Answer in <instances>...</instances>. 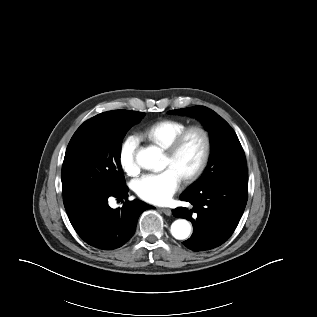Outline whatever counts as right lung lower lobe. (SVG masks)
<instances>
[{
    "label": "right lung lower lobe",
    "instance_id": "1",
    "mask_svg": "<svg viewBox=\"0 0 317 317\" xmlns=\"http://www.w3.org/2000/svg\"><path fill=\"white\" fill-rule=\"evenodd\" d=\"M127 192V187L103 192L91 200L65 207L73 228L82 240L102 250H113L133 236L140 214L153 206L128 200L122 208L112 209L108 205L110 196L126 199Z\"/></svg>",
    "mask_w": 317,
    "mask_h": 317
}]
</instances>
